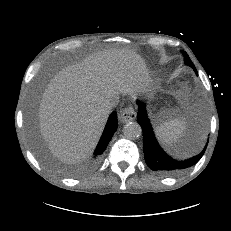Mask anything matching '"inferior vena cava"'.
Returning <instances> with one entry per match:
<instances>
[{
  "label": "inferior vena cava",
  "instance_id": "602c4592",
  "mask_svg": "<svg viewBox=\"0 0 231 231\" xmlns=\"http://www.w3.org/2000/svg\"><path fill=\"white\" fill-rule=\"evenodd\" d=\"M117 103H118V97H115L114 99L107 101L105 106L107 112L110 113L112 108L116 107Z\"/></svg>",
  "mask_w": 231,
  "mask_h": 231
}]
</instances>
